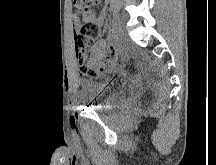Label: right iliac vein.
Instances as JSON below:
<instances>
[{
    "label": "right iliac vein",
    "mask_w": 216,
    "mask_h": 165,
    "mask_svg": "<svg viewBox=\"0 0 216 165\" xmlns=\"http://www.w3.org/2000/svg\"><path fill=\"white\" fill-rule=\"evenodd\" d=\"M114 28H115V37L117 39H121L124 36V26H123V20L121 17L116 16L114 18V24H113Z\"/></svg>",
    "instance_id": "obj_1"
}]
</instances>
